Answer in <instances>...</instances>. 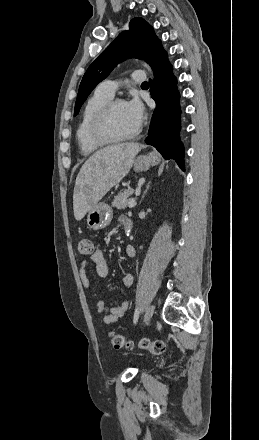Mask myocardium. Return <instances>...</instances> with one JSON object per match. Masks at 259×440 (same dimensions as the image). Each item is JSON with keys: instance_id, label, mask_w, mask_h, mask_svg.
Here are the masks:
<instances>
[{"instance_id": "myocardium-1", "label": "myocardium", "mask_w": 259, "mask_h": 440, "mask_svg": "<svg viewBox=\"0 0 259 440\" xmlns=\"http://www.w3.org/2000/svg\"><path fill=\"white\" fill-rule=\"evenodd\" d=\"M119 103H124V101L120 98L111 99L97 111L89 127V135L93 141L105 145L116 144L132 140L139 135L141 132L140 126H138L133 132L123 136H117L111 132V114L114 107Z\"/></svg>"}]
</instances>
